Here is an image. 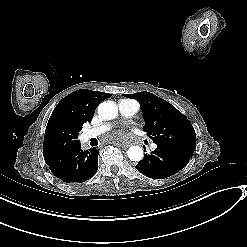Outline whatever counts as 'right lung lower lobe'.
Here are the masks:
<instances>
[{
  "mask_svg": "<svg viewBox=\"0 0 247 247\" xmlns=\"http://www.w3.org/2000/svg\"><path fill=\"white\" fill-rule=\"evenodd\" d=\"M98 152L95 148L83 151L78 142L64 151L46 154L44 158L54 176L66 183H81L96 174Z\"/></svg>",
  "mask_w": 247,
  "mask_h": 247,
  "instance_id": "right-lung-lower-lobe-1",
  "label": "right lung lower lobe"
}]
</instances>
